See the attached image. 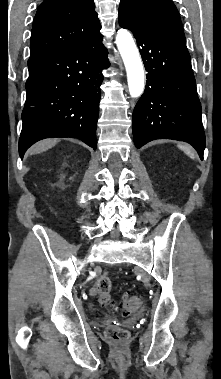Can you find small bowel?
<instances>
[{"label": "small bowel", "mask_w": 221, "mask_h": 379, "mask_svg": "<svg viewBox=\"0 0 221 379\" xmlns=\"http://www.w3.org/2000/svg\"><path fill=\"white\" fill-rule=\"evenodd\" d=\"M97 293V289L94 287L92 290H91V294L92 295H95Z\"/></svg>", "instance_id": "obj_1"}]
</instances>
